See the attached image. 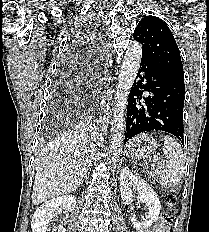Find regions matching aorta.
Wrapping results in <instances>:
<instances>
[{"label": "aorta", "mask_w": 209, "mask_h": 232, "mask_svg": "<svg viewBox=\"0 0 209 232\" xmlns=\"http://www.w3.org/2000/svg\"><path fill=\"white\" fill-rule=\"evenodd\" d=\"M142 58V46L137 42L130 43L124 56L122 69L118 77L117 91L111 121L110 164L115 168L124 141L125 112L129 91L134 83Z\"/></svg>", "instance_id": "762f6f07"}]
</instances>
